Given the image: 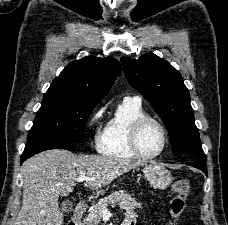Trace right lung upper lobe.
I'll return each instance as SVG.
<instances>
[{
  "mask_svg": "<svg viewBox=\"0 0 228 225\" xmlns=\"http://www.w3.org/2000/svg\"><path fill=\"white\" fill-rule=\"evenodd\" d=\"M120 73L121 65L115 58L87 56L68 64L48 91L98 103Z\"/></svg>",
  "mask_w": 228,
  "mask_h": 225,
  "instance_id": "cb5924a9",
  "label": "right lung upper lobe"
}]
</instances>
